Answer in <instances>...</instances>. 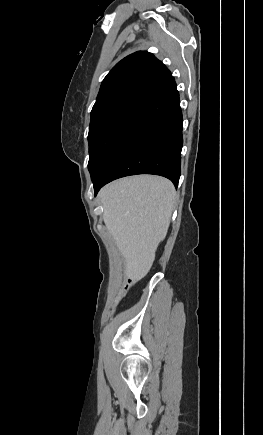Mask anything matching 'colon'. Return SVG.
<instances>
[{"label":"colon","instance_id":"1","mask_svg":"<svg viewBox=\"0 0 263 435\" xmlns=\"http://www.w3.org/2000/svg\"><path fill=\"white\" fill-rule=\"evenodd\" d=\"M132 287V283L128 282L125 284L124 286V295L130 290V288Z\"/></svg>","mask_w":263,"mask_h":435}]
</instances>
